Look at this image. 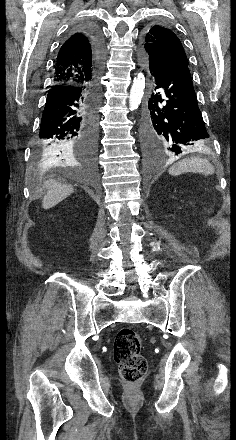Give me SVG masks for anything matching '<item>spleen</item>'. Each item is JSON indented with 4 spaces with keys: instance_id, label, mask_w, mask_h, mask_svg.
Returning a JSON list of instances; mask_svg holds the SVG:
<instances>
[{
    "instance_id": "spleen-1",
    "label": "spleen",
    "mask_w": 236,
    "mask_h": 440,
    "mask_svg": "<svg viewBox=\"0 0 236 440\" xmlns=\"http://www.w3.org/2000/svg\"><path fill=\"white\" fill-rule=\"evenodd\" d=\"M168 172L174 176L185 172H197L204 175H212L215 172V168L205 158L190 157L175 163L170 167Z\"/></svg>"
}]
</instances>
